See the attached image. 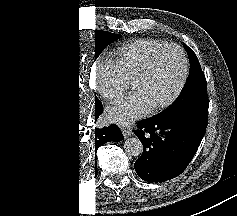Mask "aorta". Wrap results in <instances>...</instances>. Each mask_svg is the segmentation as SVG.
<instances>
[{
  "mask_svg": "<svg viewBox=\"0 0 237 216\" xmlns=\"http://www.w3.org/2000/svg\"><path fill=\"white\" fill-rule=\"evenodd\" d=\"M124 150L133 156H139L143 152V144L138 138H128L124 142Z\"/></svg>",
  "mask_w": 237,
  "mask_h": 216,
  "instance_id": "aorta-1",
  "label": "aorta"
}]
</instances>
